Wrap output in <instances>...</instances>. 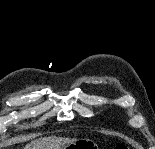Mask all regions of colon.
Here are the masks:
<instances>
[{"mask_svg": "<svg viewBox=\"0 0 155 149\" xmlns=\"http://www.w3.org/2000/svg\"><path fill=\"white\" fill-rule=\"evenodd\" d=\"M115 149H128V146L124 143L118 144Z\"/></svg>", "mask_w": 155, "mask_h": 149, "instance_id": "obj_1", "label": "colon"}]
</instances>
